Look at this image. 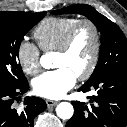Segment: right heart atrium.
Instances as JSON below:
<instances>
[{
    "mask_svg": "<svg viewBox=\"0 0 127 127\" xmlns=\"http://www.w3.org/2000/svg\"><path fill=\"white\" fill-rule=\"evenodd\" d=\"M17 59L22 70L28 75H36L40 71V51L27 40H22L17 47Z\"/></svg>",
    "mask_w": 127,
    "mask_h": 127,
    "instance_id": "d8ad5b80",
    "label": "right heart atrium"
}]
</instances>
